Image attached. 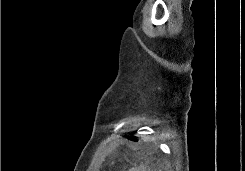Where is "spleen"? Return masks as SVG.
Here are the masks:
<instances>
[{"label": "spleen", "instance_id": "obj_1", "mask_svg": "<svg viewBox=\"0 0 245 171\" xmlns=\"http://www.w3.org/2000/svg\"><path fill=\"white\" fill-rule=\"evenodd\" d=\"M129 171H151V169L146 165H140L129 169Z\"/></svg>", "mask_w": 245, "mask_h": 171}]
</instances>
